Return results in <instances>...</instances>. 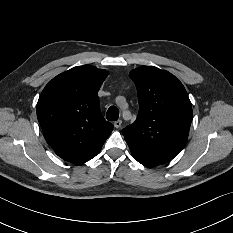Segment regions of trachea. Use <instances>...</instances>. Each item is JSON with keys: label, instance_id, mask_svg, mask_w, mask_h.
I'll return each instance as SVG.
<instances>
[{"label": "trachea", "instance_id": "trachea-1", "mask_svg": "<svg viewBox=\"0 0 233 233\" xmlns=\"http://www.w3.org/2000/svg\"><path fill=\"white\" fill-rule=\"evenodd\" d=\"M106 117H107V120H109V121L118 120L119 110L114 106L109 107V109L107 110V113H106Z\"/></svg>", "mask_w": 233, "mask_h": 233}]
</instances>
